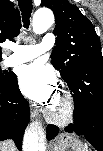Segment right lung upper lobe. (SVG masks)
Returning a JSON list of instances; mask_svg holds the SVG:
<instances>
[{
	"label": "right lung upper lobe",
	"instance_id": "obj_1",
	"mask_svg": "<svg viewBox=\"0 0 103 151\" xmlns=\"http://www.w3.org/2000/svg\"><path fill=\"white\" fill-rule=\"evenodd\" d=\"M21 28L19 11L9 0H0V43L11 40L19 34ZM2 51L0 47V59Z\"/></svg>",
	"mask_w": 103,
	"mask_h": 151
}]
</instances>
